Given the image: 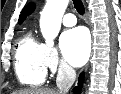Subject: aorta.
I'll list each match as a JSON object with an SVG mask.
<instances>
[{"label": "aorta", "instance_id": "1", "mask_svg": "<svg viewBox=\"0 0 121 94\" xmlns=\"http://www.w3.org/2000/svg\"><path fill=\"white\" fill-rule=\"evenodd\" d=\"M69 0H47L40 17V29L46 45L52 47L57 37L62 17L68 6Z\"/></svg>", "mask_w": 121, "mask_h": 94}]
</instances>
